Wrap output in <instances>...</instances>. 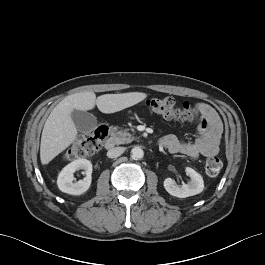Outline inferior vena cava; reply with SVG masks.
<instances>
[{
  "mask_svg": "<svg viewBox=\"0 0 265 265\" xmlns=\"http://www.w3.org/2000/svg\"><path fill=\"white\" fill-rule=\"evenodd\" d=\"M124 151H125V148L124 147H115V148H112V149L108 150L107 156L109 158H117L121 154H123Z\"/></svg>",
  "mask_w": 265,
  "mask_h": 265,
  "instance_id": "obj_1",
  "label": "inferior vena cava"
}]
</instances>
